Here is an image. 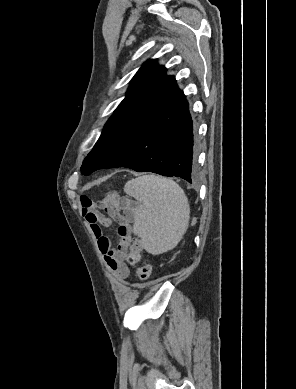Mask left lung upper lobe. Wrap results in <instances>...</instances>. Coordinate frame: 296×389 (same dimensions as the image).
<instances>
[{
	"label": "left lung upper lobe",
	"mask_w": 296,
	"mask_h": 389,
	"mask_svg": "<svg viewBox=\"0 0 296 389\" xmlns=\"http://www.w3.org/2000/svg\"><path fill=\"white\" fill-rule=\"evenodd\" d=\"M170 77L171 76L166 75V68L163 66H158L156 64V60H149L145 62L133 77L126 93V97L107 121L103 132L109 126L119 120L125 113L146 99L153 91H155ZM93 149L83 161L81 172L84 175H89L91 172L99 169V163L94 156Z\"/></svg>",
	"instance_id": "1"
}]
</instances>
